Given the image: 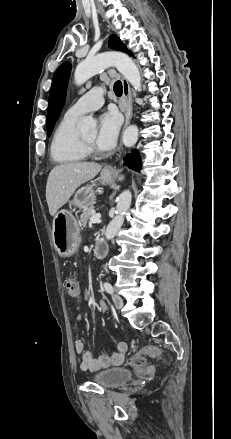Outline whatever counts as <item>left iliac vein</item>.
<instances>
[{
	"mask_svg": "<svg viewBox=\"0 0 231 439\" xmlns=\"http://www.w3.org/2000/svg\"><path fill=\"white\" fill-rule=\"evenodd\" d=\"M112 301L117 309H121L124 305L123 299L117 294H112Z\"/></svg>",
	"mask_w": 231,
	"mask_h": 439,
	"instance_id": "obj_1",
	"label": "left iliac vein"
}]
</instances>
